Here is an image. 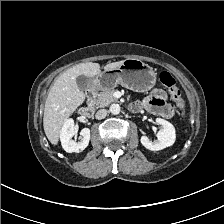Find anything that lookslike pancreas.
Segmentation results:
<instances>
[{
  "mask_svg": "<svg viewBox=\"0 0 224 224\" xmlns=\"http://www.w3.org/2000/svg\"><path fill=\"white\" fill-rule=\"evenodd\" d=\"M115 89L110 88L98 93L93 100V103L96 107H106L110 103L117 101V99L113 96Z\"/></svg>",
  "mask_w": 224,
  "mask_h": 224,
  "instance_id": "obj_1",
  "label": "pancreas"
}]
</instances>
